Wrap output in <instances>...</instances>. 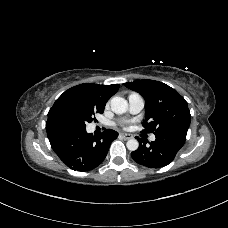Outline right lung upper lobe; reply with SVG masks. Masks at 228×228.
I'll return each mask as SVG.
<instances>
[{"label":"right lung upper lobe","mask_w":228,"mask_h":228,"mask_svg":"<svg viewBox=\"0 0 228 228\" xmlns=\"http://www.w3.org/2000/svg\"><path fill=\"white\" fill-rule=\"evenodd\" d=\"M119 89V84L98 85L94 83H84L74 86L65 91L58 99L66 97H76L98 108H105L106 102ZM51 126L46 123V127Z\"/></svg>","instance_id":"1"}]
</instances>
